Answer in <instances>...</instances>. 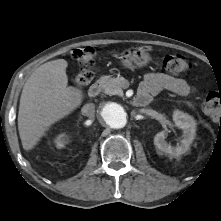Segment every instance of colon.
Listing matches in <instances>:
<instances>
[{
  "mask_svg": "<svg viewBox=\"0 0 221 221\" xmlns=\"http://www.w3.org/2000/svg\"><path fill=\"white\" fill-rule=\"evenodd\" d=\"M73 58L80 66V71L74 76L73 82L76 87L81 88L88 85L94 78L96 52L91 47L76 49L73 51ZM162 68L171 73H183L189 70L190 63L182 54H170L163 57ZM203 109L207 114L221 121V93H208L203 101Z\"/></svg>",
  "mask_w": 221,
  "mask_h": 221,
  "instance_id": "1",
  "label": "colon"
}]
</instances>
